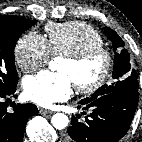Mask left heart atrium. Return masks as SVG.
<instances>
[{
    "label": "left heart atrium",
    "mask_w": 142,
    "mask_h": 142,
    "mask_svg": "<svg viewBox=\"0 0 142 142\" xmlns=\"http://www.w3.org/2000/svg\"><path fill=\"white\" fill-rule=\"evenodd\" d=\"M72 86L69 75L42 71L24 80V93L29 100L47 107L54 102L66 100L71 95Z\"/></svg>",
    "instance_id": "obj_1"
}]
</instances>
